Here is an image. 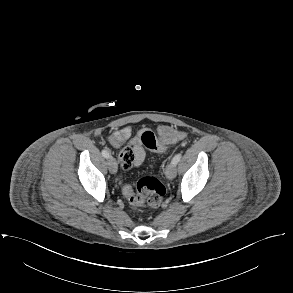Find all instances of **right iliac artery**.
Masks as SVG:
<instances>
[{"instance_id": "right-iliac-artery-1", "label": "right iliac artery", "mask_w": 293, "mask_h": 293, "mask_svg": "<svg viewBox=\"0 0 293 293\" xmlns=\"http://www.w3.org/2000/svg\"><path fill=\"white\" fill-rule=\"evenodd\" d=\"M102 155L105 157V158H109L110 154H109V151L107 149H103L102 150Z\"/></svg>"}]
</instances>
